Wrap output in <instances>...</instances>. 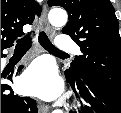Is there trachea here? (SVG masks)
<instances>
[{
  "instance_id": "1",
  "label": "trachea",
  "mask_w": 121,
  "mask_h": 113,
  "mask_svg": "<svg viewBox=\"0 0 121 113\" xmlns=\"http://www.w3.org/2000/svg\"><path fill=\"white\" fill-rule=\"evenodd\" d=\"M39 43L42 45L43 48H45L50 53H57V54H63L67 55V53H64L60 50H58L49 40L45 32L39 33ZM32 39L29 37H25L22 39L17 40V46L16 49L18 50H28L31 47Z\"/></svg>"
}]
</instances>
